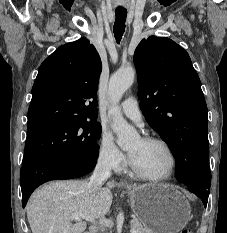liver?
Returning a JSON list of instances; mask_svg holds the SVG:
<instances>
[{
    "label": "liver",
    "mask_w": 227,
    "mask_h": 233,
    "mask_svg": "<svg viewBox=\"0 0 227 233\" xmlns=\"http://www.w3.org/2000/svg\"><path fill=\"white\" fill-rule=\"evenodd\" d=\"M116 186L108 182L105 187L93 190L86 180L55 181L36 190L27 203V218L32 233H82L86 222L73 223L70 216L81 213L102 219L112 204L111 189Z\"/></svg>",
    "instance_id": "1"
}]
</instances>
